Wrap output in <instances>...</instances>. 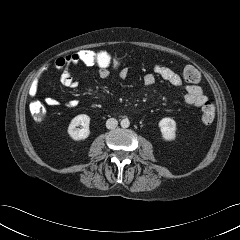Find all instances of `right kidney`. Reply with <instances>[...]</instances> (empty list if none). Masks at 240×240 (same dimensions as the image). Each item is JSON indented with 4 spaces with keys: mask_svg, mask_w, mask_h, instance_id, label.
I'll list each match as a JSON object with an SVG mask.
<instances>
[{
    "mask_svg": "<svg viewBox=\"0 0 240 240\" xmlns=\"http://www.w3.org/2000/svg\"><path fill=\"white\" fill-rule=\"evenodd\" d=\"M89 124L90 117L88 115H77L71 120L67 132L69 136L75 141L84 140L90 135ZM79 125H81L82 127L77 128Z\"/></svg>",
    "mask_w": 240,
    "mask_h": 240,
    "instance_id": "ca27d5eb",
    "label": "right kidney"
}]
</instances>
